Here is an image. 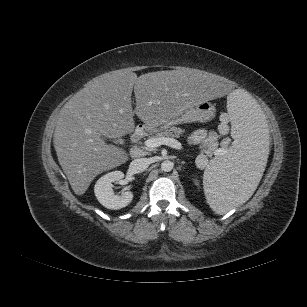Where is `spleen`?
<instances>
[{
    "instance_id": "3e777b00",
    "label": "spleen",
    "mask_w": 307,
    "mask_h": 307,
    "mask_svg": "<svg viewBox=\"0 0 307 307\" xmlns=\"http://www.w3.org/2000/svg\"><path fill=\"white\" fill-rule=\"evenodd\" d=\"M227 103L235 141L224 156L210 162L203 175L207 202L220 215L251 197L270 152V133L256 101L236 91Z\"/></svg>"
}]
</instances>
